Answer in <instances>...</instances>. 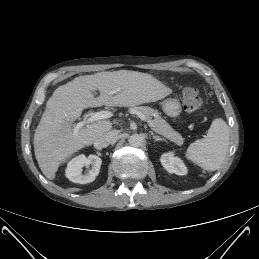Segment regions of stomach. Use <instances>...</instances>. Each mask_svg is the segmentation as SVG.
Listing matches in <instances>:
<instances>
[{"label": "stomach", "mask_w": 259, "mask_h": 259, "mask_svg": "<svg viewBox=\"0 0 259 259\" xmlns=\"http://www.w3.org/2000/svg\"><path fill=\"white\" fill-rule=\"evenodd\" d=\"M163 111L170 117H177L181 113V104L177 99L168 98L162 103Z\"/></svg>", "instance_id": "1"}]
</instances>
